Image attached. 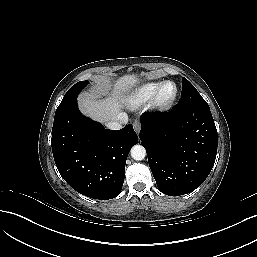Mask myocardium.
Here are the masks:
<instances>
[{"instance_id":"1","label":"myocardium","mask_w":257,"mask_h":257,"mask_svg":"<svg viewBox=\"0 0 257 257\" xmlns=\"http://www.w3.org/2000/svg\"><path fill=\"white\" fill-rule=\"evenodd\" d=\"M168 85H172L174 87V93L172 97L169 99L164 98V92ZM179 96V90L176 83L172 81H166L162 84V86L158 89V91L151 98L150 106L153 111L156 112H168L170 111L176 104Z\"/></svg>"}]
</instances>
